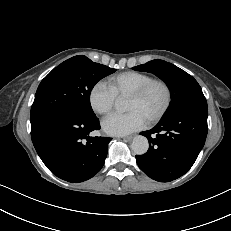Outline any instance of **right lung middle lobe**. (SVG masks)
Here are the masks:
<instances>
[{"instance_id": "obj_1", "label": "right lung middle lobe", "mask_w": 231, "mask_h": 231, "mask_svg": "<svg viewBox=\"0 0 231 231\" xmlns=\"http://www.w3.org/2000/svg\"><path fill=\"white\" fill-rule=\"evenodd\" d=\"M116 69L74 56L54 68L40 83L31 107V130L63 113L96 117L90 104L94 85Z\"/></svg>"}]
</instances>
